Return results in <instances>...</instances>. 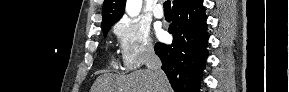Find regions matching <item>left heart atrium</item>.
I'll list each match as a JSON object with an SVG mask.
<instances>
[{
	"label": "left heart atrium",
	"instance_id": "obj_1",
	"mask_svg": "<svg viewBox=\"0 0 289 92\" xmlns=\"http://www.w3.org/2000/svg\"><path fill=\"white\" fill-rule=\"evenodd\" d=\"M157 35H158L159 37H161V36L163 35V31L159 30V31L157 32Z\"/></svg>",
	"mask_w": 289,
	"mask_h": 92
}]
</instances>
